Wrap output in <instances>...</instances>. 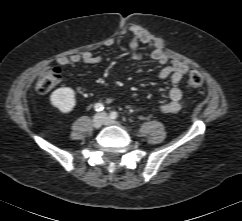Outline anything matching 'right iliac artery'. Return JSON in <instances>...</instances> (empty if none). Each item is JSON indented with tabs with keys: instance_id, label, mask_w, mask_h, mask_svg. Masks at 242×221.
<instances>
[{
	"instance_id": "82829eb1",
	"label": "right iliac artery",
	"mask_w": 242,
	"mask_h": 221,
	"mask_svg": "<svg viewBox=\"0 0 242 221\" xmlns=\"http://www.w3.org/2000/svg\"><path fill=\"white\" fill-rule=\"evenodd\" d=\"M94 109H95V111L99 112V111H102L104 109V106L101 103H96L95 106H94Z\"/></svg>"
}]
</instances>
